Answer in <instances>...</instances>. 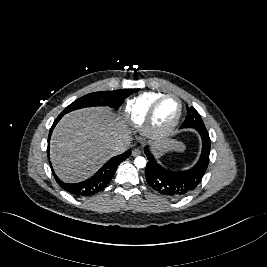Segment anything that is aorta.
Wrapping results in <instances>:
<instances>
[{
  "instance_id": "762f6f07",
  "label": "aorta",
  "mask_w": 267,
  "mask_h": 267,
  "mask_svg": "<svg viewBox=\"0 0 267 267\" xmlns=\"http://www.w3.org/2000/svg\"><path fill=\"white\" fill-rule=\"evenodd\" d=\"M146 159L142 156H138L134 160V164L137 168H144L146 166Z\"/></svg>"
}]
</instances>
